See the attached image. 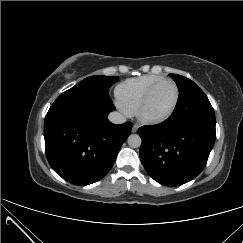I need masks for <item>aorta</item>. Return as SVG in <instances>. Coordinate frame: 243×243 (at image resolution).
I'll return each instance as SVG.
<instances>
[{"label":"aorta","instance_id":"aorta-1","mask_svg":"<svg viewBox=\"0 0 243 243\" xmlns=\"http://www.w3.org/2000/svg\"><path fill=\"white\" fill-rule=\"evenodd\" d=\"M128 145L132 148H138L141 146L142 140L139 135L131 134L128 139Z\"/></svg>","mask_w":243,"mask_h":243}]
</instances>
